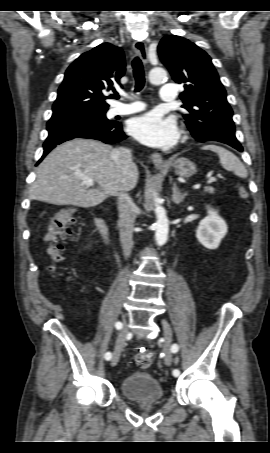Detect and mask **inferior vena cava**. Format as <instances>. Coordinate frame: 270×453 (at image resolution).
<instances>
[{
	"label": "inferior vena cava",
	"mask_w": 270,
	"mask_h": 453,
	"mask_svg": "<svg viewBox=\"0 0 270 453\" xmlns=\"http://www.w3.org/2000/svg\"><path fill=\"white\" fill-rule=\"evenodd\" d=\"M112 158L118 168L126 171L133 164L131 150L127 148H117L112 151ZM119 221L118 228L120 232V242L122 245L125 258L131 254L133 246V227L135 222V204L127 193L122 191L118 194Z\"/></svg>",
	"instance_id": "inferior-vena-cava-1"
}]
</instances>
